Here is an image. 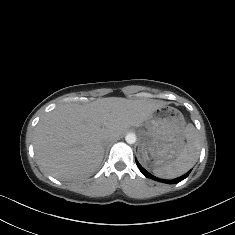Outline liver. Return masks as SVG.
I'll use <instances>...</instances> for the list:
<instances>
[{
	"label": "liver",
	"mask_w": 235,
	"mask_h": 235,
	"mask_svg": "<svg viewBox=\"0 0 235 235\" xmlns=\"http://www.w3.org/2000/svg\"><path fill=\"white\" fill-rule=\"evenodd\" d=\"M163 101L104 98L88 105L66 104L41 118L33 133L37 164L61 181L89 176L104 156V142L140 126Z\"/></svg>",
	"instance_id": "1"
}]
</instances>
